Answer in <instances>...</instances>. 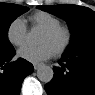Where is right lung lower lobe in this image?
Listing matches in <instances>:
<instances>
[{
    "mask_svg": "<svg viewBox=\"0 0 95 95\" xmlns=\"http://www.w3.org/2000/svg\"><path fill=\"white\" fill-rule=\"evenodd\" d=\"M15 49L0 54V95H19L23 79L34 70L28 61L19 58L10 62Z\"/></svg>",
    "mask_w": 95,
    "mask_h": 95,
    "instance_id": "1",
    "label": "right lung lower lobe"
}]
</instances>
